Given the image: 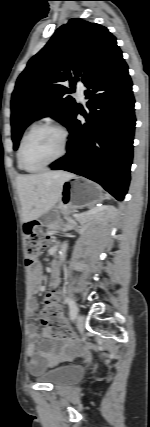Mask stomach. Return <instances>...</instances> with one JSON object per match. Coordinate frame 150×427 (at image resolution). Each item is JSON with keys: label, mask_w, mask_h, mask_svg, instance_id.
Segmentation results:
<instances>
[{"label": "stomach", "mask_w": 150, "mask_h": 427, "mask_svg": "<svg viewBox=\"0 0 150 427\" xmlns=\"http://www.w3.org/2000/svg\"><path fill=\"white\" fill-rule=\"evenodd\" d=\"M101 199L102 192L97 185L74 176L64 182L57 210H52L49 215L56 217L58 211L69 214L78 208L92 206Z\"/></svg>", "instance_id": "obj_1"}]
</instances>
